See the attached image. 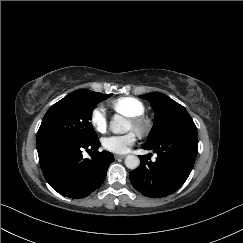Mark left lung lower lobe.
Instances as JSON below:
<instances>
[{"mask_svg":"<svg viewBox=\"0 0 243 243\" xmlns=\"http://www.w3.org/2000/svg\"><path fill=\"white\" fill-rule=\"evenodd\" d=\"M157 153L155 162L139 156L140 166L130 172L133 187L148 197H164L178 190L188 178L198 153L197 131H190L143 146Z\"/></svg>","mask_w":243,"mask_h":243,"instance_id":"1","label":"left lung lower lobe"}]
</instances>
